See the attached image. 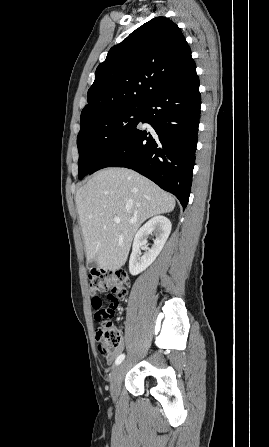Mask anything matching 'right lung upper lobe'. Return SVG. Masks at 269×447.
<instances>
[{"mask_svg": "<svg viewBox=\"0 0 269 447\" xmlns=\"http://www.w3.org/2000/svg\"><path fill=\"white\" fill-rule=\"evenodd\" d=\"M193 61L191 49L174 22L166 17L150 20L112 47L97 67L81 124L117 108L143 104Z\"/></svg>", "mask_w": 269, "mask_h": 447, "instance_id": "obj_1", "label": "right lung upper lobe"}]
</instances>
